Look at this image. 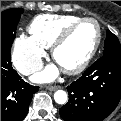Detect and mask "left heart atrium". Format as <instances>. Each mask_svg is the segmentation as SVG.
Returning a JSON list of instances; mask_svg holds the SVG:
<instances>
[{"mask_svg":"<svg viewBox=\"0 0 121 121\" xmlns=\"http://www.w3.org/2000/svg\"><path fill=\"white\" fill-rule=\"evenodd\" d=\"M59 73V67L56 65L48 66L43 72L37 74L34 80L37 82H48L57 77Z\"/></svg>","mask_w":121,"mask_h":121,"instance_id":"39dd6f15","label":"left heart atrium"}]
</instances>
